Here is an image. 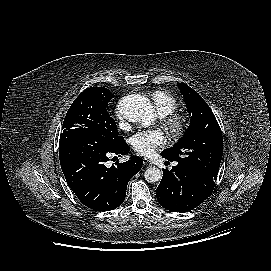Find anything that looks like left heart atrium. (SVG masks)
<instances>
[{
	"label": "left heart atrium",
	"instance_id": "left-heart-atrium-1",
	"mask_svg": "<svg viewBox=\"0 0 271 271\" xmlns=\"http://www.w3.org/2000/svg\"><path fill=\"white\" fill-rule=\"evenodd\" d=\"M165 141L160 129L140 131L132 138L135 151L142 156H152Z\"/></svg>",
	"mask_w": 271,
	"mask_h": 271
}]
</instances>
